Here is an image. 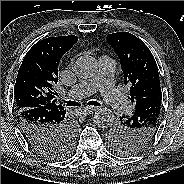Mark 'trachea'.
I'll use <instances>...</instances> for the list:
<instances>
[{"label": "trachea", "instance_id": "trachea-1", "mask_svg": "<svg viewBox=\"0 0 184 184\" xmlns=\"http://www.w3.org/2000/svg\"><path fill=\"white\" fill-rule=\"evenodd\" d=\"M66 103L67 106H79L80 103L79 102H76V101H72V100H65L64 101ZM88 105H91V106H100V103L97 102V101H89L88 102Z\"/></svg>", "mask_w": 184, "mask_h": 184}]
</instances>
